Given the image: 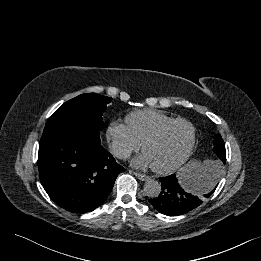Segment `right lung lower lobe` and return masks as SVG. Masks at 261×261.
<instances>
[{"label": "right lung lower lobe", "mask_w": 261, "mask_h": 261, "mask_svg": "<svg viewBox=\"0 0 261 261\" xmlns=\"http://www.w3.org/2000/svg\"><path fill=\"white\" fill-rule=\"evenodd\" d=\"M40 181L50 198L74 213L97 208L125 169L101 145L94 127L68 128L42 135Z\"/></svg>", "instance_id": "right-lung-lower-lobe-1"}]
</instances>
